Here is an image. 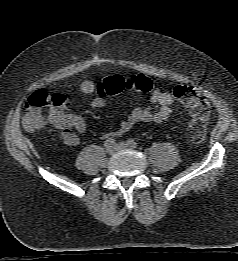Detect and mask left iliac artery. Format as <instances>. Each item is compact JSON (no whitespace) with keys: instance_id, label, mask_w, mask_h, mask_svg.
<instances>
[{"instance_id":"obj_1","label":"left iliac artery","mask_w":238,"mask_h":261,"mask_svg":"<svg viewBox=\"0 0 238 261\" xmlns=\"http://www.w3.org/2000/svg\"><path fill=\"white\" fill-rule=\"evenodd\" d=\"M127 144L131 147V148H136L138 145L137 143L133 140V139H129L127 141Z\"/></svg>"}]
</instances>
